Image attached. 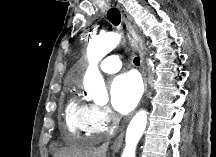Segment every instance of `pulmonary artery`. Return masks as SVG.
<instances>
[{"mask_svg":"<svg viewBox=\"0 0 216 157\" xmlns=\"http://www.w3.org/2000/svg\"><path fill=\"white\" fill-rule=\"evenodd\" d=\"M101 71L105 73H115L121 68V56L110 55L107 56L99 65Z\"/></svg>","mask_w":216,"mask_h":157,"instance_id":"pulmonary-artery-1","label":"pulmonary artery"}]
</instances>
